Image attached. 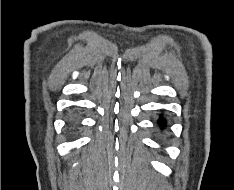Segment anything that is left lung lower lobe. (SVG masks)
Segmentation results:
<instances>
[{
  "instance_id": "0a47b994",
  "label": "left lung lower lobe",
  "mask_w": 234,
  "mask_h": 190,
  "mask_svg": "<svg viewBox=\"0 0 234 190\" xmlns=\"http://www.w3.org/2000/svg\"><path fill=\"white\" fill-rule=\"evenodd\" d=\"M158 124H160V126L164 128L166 126L165 119L161 117L160 120L158 121Z\"/></svg>"
}]
</instances>
